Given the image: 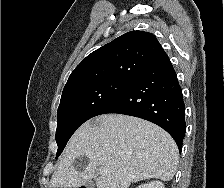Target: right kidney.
Returning a JSON list of instances; mask_svg holds the SVG:
<instances>
[{
  "mask_svg": "<svg viewBox=\"0 0 224 188\" xmlns=\"http://www.w3.org/2000/svg\"><path fill=\"white\" fill-rule=\"evenodd\" d=\"M137 188H165V186L160 181H151L149 183L141 184Z\"/></svg>",
  "mask_w": 224,
  "mask_h": 188,
  "instance_id": "obj_1",
  "label": "right kidney"
}]
</instances>
